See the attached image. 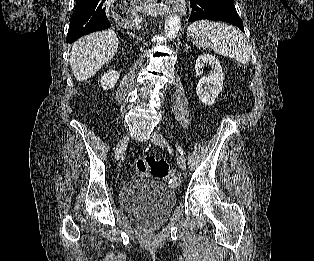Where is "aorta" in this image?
Instances as JSON below:
<instances>
[{
    "mask_svg": "<svg viewBox=\"0 0 314 261\" xmlns=\"http://www.w3.org/2000/svg\"><path fill=\"white\" fill-rule=\"evenodd\" d=\"M181 27V19L178 15H171L164 25V34L168 39H174L178 35Z\"/></svg>",
    "mask_w": 314,
    "mask_h": 261,
    "instance_id": "762f6f07",
    "label": "aorta"
}]
</instances>
